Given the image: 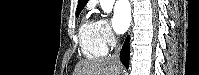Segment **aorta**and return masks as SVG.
Returning a JSON list of instances; mask_svg holds the SVG:
<instances>
[{
  "instance_id": "1",
  "label": "aorta",
  "mask_w": 199,
  "mask_h": 75,
  "mask_svg": "<svg viewBox=\"0 0 199 75\" xmlns=\"http://www.w3.org/2000/svg\"><path fill=\"white\" fill-rule=\"evenodd\" d=\"M114 0H100V6L106 13H110L113 9Z\"/></svg>"
}]
</instances>
